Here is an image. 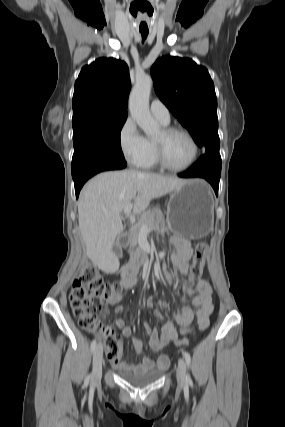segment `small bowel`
I'll return each mask as SVG.
<instances>
[{"label":"small bowel","instance_id":"c3829d8e","mask_svg":"<svg viewBox=\"0 0 285 427\" xmlns=\"http://www.w3.org/2000/svg\"><path fill=\"white\" fill-rule=\"evenodd\" d=\"M170 244L173 248V252L171 254L173 265L182 274H187L189 272V262L193 254L190 242L179 236H172L170 237ZM138 272L139 268L137 266L135 275L132 277V281L130 283H128L122 276L121 284L124 289H128L136 284L138 280ZM165 274L171 285L177 284V281L166 270ZM181 287L184 293L192 296V305L196 307V311L194 312L189 305H182L179 311L174 314V321L180 326H188L193 321L194 316H196L199 329H207L210 322V316L213 312L212 287L209 281L206 279H200L193 287H189L182 282ZM122 300L123 296L119 291L112 293L108 298V302L110 304L116 305V312L118 313H122L124 310L121 304ZM145 304L148 308H153L155 306V303L151 300L146 301ZM157 305L160 307H166L167 302L159 301L157 302ZM102 312L105 318H109V311L106 307H102ZM154 317L159 320L162 318V314L159 311H155ZM113 324L121 330V335L124 338H128L132 342L138 354H142L146 347L150 348L154 352H160L171 342H174L175 344H184L187 342L186 340L180 341L178 339V333L173 321L166 322L161 330H158L157 328L151 329L149 324L145 322L144 328L148 336L146 343L133 337L132 329L129 326H126L124 319H115L113 320ZM110 361L115 367L144 373L154 368L162 370L167 369L170 363V357L167 353L160 354L156 360L145 356L139 364L121 362L120 357L116 360Z\"/></svg>","mask_w":285,"mask_h":427}]
</instances>
